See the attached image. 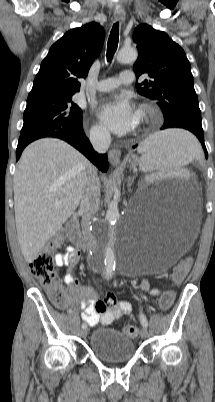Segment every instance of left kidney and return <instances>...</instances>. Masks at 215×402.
Wrapping results in <instances>:
<instances>
[{"mask_svg": "<svg viewBox=\"0 0 215 402\" xmlns=\"http://www.w3.org/2000/svg\"><path fill=\"white\" fill-rule=\"evenodd\" d=\"M146 175L148 176V177H156L157 175H158V172L156 171V170H148L147 172H146ZM167 175V172L165 171V170H161L160 172H159V175H158V178H162V177H165ZM169 175L171 176V177H179V178H191L192 176H193V171L191 170V169H179V170H171L170 172H169Z\"/></svg>", "mask_w": 215, "mask_h": 402, "instance_id": "1", "label": "left kidney"}]
</instances>
